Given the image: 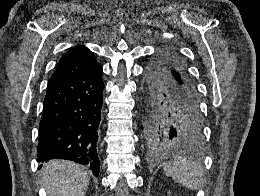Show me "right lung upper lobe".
<instances>
[{"instance_id": "right-lung-upper-lobe-1", "label": "right lung upper lobe", "mask_w": 260, "mask_h": 196, "mask_svg": "<svg viewBox=\"0 0 260 196\" xmlns=\"http://www.w3.org/2000/svg\"><path fill=\"white\" fill-rule=\"evenodd\" d=\"M101 70L102 67L93 53L84 46H77L62 56L49 79L48 88L66 81L87 78Z\"/></svg>"}]
</instances>
